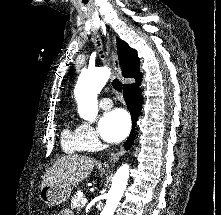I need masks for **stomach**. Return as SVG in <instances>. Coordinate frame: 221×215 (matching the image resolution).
<instances>
[{
    "mask_svg": "<svg viewBox=\"0 0 221 215\" xmlns=\"http://www.w3.org/2000/svg\"><path fill=\"white\" fill-rule=\"evenodd\" d=\"M71 193V187H61L51 184L40 190L39 197L48 206H56L68 200Z\"/></svg>",
    "mask_w": 221,
    "mask_h": 215,
    "instance_id": "stomach-1",
    "label": "stomach"
}]
</instances>
